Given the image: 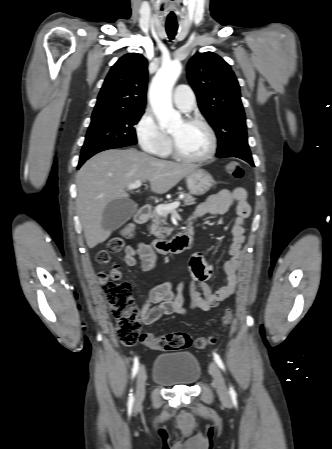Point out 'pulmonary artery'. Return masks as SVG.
Segmentation results:
<instances>
[{"label":"pulmonary artery","mask_w":332,"mask_h":449,"mask_svg":"<svg viewBox=\"0 0 332 449\" xmlns=\"http://www.w3.org/2000/svg\"><path fill=\"white\" fill-rule=\"evenodd\" d=\"M172 100L174 105L184 112L192 110L195 105V95L186 84H180L175 88Z\"/></svg>","instance_id":"pulmonary-artery-1"}]
</instances>
